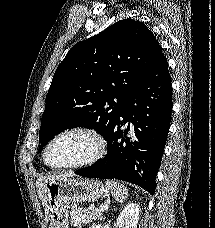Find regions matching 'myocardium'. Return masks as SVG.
I'll use <instances>...</instances> for the list:
<instances>
[{
  "instance_id": "f54148a6",
  "label": "myocardium",
  "mask_w": 215,
  "mask_h": 228,
  "mask_svg": "<svg viewBox=\"0 0 215 228\" xmlns=\"http://www.w3.org/2000/svg\"><path fill=\"white\" fill-rule=\"evenodd\" d=\"M74 133L88 136L93 143L92 151L86 157L76 162H72L59 167H52L48 165L46 161V154L49 148L51 147V145L59 138L65 135L74 134ZM106 149H107L106 139L98 129L87 125H76V126H71L61 130L60 132H58L52 138L49 139V141L46 143L42 152V161L48 169L53 171H63L66 169L82 168L97 162L104 155V153L106 152Z\"/></svg>"
}]
</instances>
